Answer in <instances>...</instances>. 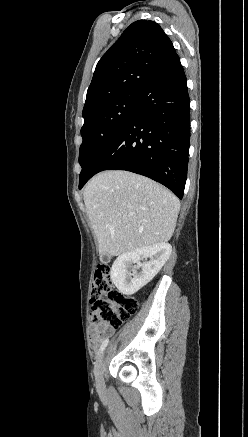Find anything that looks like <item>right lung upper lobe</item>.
<instances>
[{"instance_id": "cb5924a9", "label": "right lung upper lobe", "mask_w": 248, "mask_h": 437, "mask_svg": "<svg viewBox=\"0 0 248 437\" xmlns=\"http://www.w3.org/2000/svg\"><path fill=\"white\" fill-rule=\"evenodd\" d=\"M176 56L171 40L156 22L135 21L99 60L83 118L120 96L138 94Z\"/></svg>"}]
</instances>
